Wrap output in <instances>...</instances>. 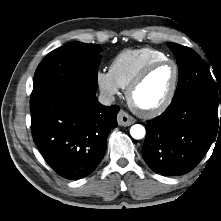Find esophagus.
<instances>
[{
  "instance_id": "obj_1",
  "label": "esophagus",
  "mask_w": 221,
  "mask_h": 221,
  "mask_svg": "<svg viewBox=\"0 0 221 221\" xmlns=\"http://www.w3.org/2000/svg\"><path fill=\"white\" fill-rule=\"evenodd\" d=\"M118 124L120 126H130L133 123L136 122L135 118L130 116L127 112L124 110H120L117 117Z\"/></svg>"
}]
</instances>
